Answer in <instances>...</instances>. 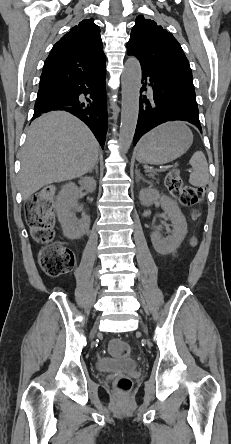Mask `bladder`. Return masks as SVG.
<instances>
[{
    "label": "bladder",
    "instance_id": "obj_1",
    "mask_svg": "<svg viewBox=\"0 0 231 444\" xmlns=\"http://www.w3.org/2000/svg\"><path fill=\"white\" fill-rule=\"evenodd\" d=\"M96 370L99 372H131L138 367V363L135 361H128L122 359L100 357L96 361Z\"/></svg>",
    "mask_w": 231,
    "mask_h": 444
}]
</instances>
